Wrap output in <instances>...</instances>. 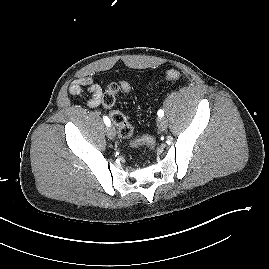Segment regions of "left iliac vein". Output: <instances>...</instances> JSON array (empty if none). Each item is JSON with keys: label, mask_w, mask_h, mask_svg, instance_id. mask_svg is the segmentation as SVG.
I'll return each mask as SVG.
<instances>
[{"label": "left iliac vein", "mask_w": 269, "mask_h": 269, "mask_svg": "<svg viewBox=\"0 0 269 269\" xmlns=\"http://www.w3.org/2000/svg\"><path fill=\"white\" fill-rule=\"evenodd\" d=\"M157 126L160 130L164 131L168 126V122L165 118H159Z\"/></svg>", "instance_id": "1"}]
</instances>
